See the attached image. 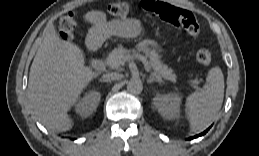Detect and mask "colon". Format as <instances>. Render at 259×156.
<instances>
[{"label":"colon","mask_w":259,"mask_h":156,"mask_svg":"<svg viewBox=\"0 0 259 156\" xmlns=\"http://www.w3.org/2000/svg\"><path fill=\"white\" fill-rule=\"evenodd\" d=\"M144 5L154 17H158L178 28L184 29L191 36L195 37L199 34V23L192 12L168 3L150 0L145 1ZM106 11L112 16L127 17L132 12V7L126 2H114L106 7ZM57 28L63 39H72L77 29L76 14L69 12L64 15L59 20ZM196 59L203 66H209L212 61L211 54L206 49H200L196 54Z\"/></svg>","instance_id":"colon-1"}]
</instances>
